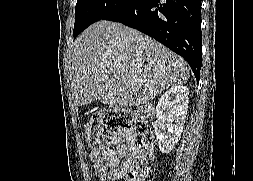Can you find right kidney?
Listing matches in <instances>:
<instances>
[{
  "mask_svg": "<svg viewBox=\"0 0 253 181\" xmlns=\"http://www.w3.org/2000/svg\"><path fill=\"white\" fill-rule=\"evenodd\" d=\"M188 95L186 86L177 85L167 90L158 101L154 132L163 154L170 153L179 141L188 109Z\"/></svg>",
  "mask_w": 253,
  "mask_h": 181,
  "instance_id": "obj_1",
  "label": "right kidney"
}]
</instances>
